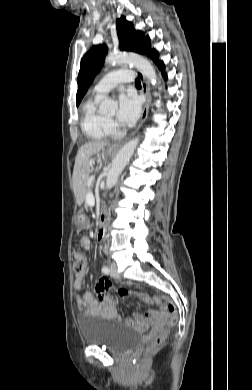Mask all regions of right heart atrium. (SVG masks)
<instances>
[{
  "instance_id": "obj_1",
  "label": "right heart atrium",
  "mask_w": 252,
  "mask_h": 390,
  "mask_svg": "<svg viewBox=\"0 0 252 390\" xmlns=\"http://www.w3.org/2000/svg\"><path fill=\"white\" fill-rule=\"evenodd\" d=\"M109 128L111 131H115L116 129V125L113 121H109Z\"/></svg>"
}]
</instances>
